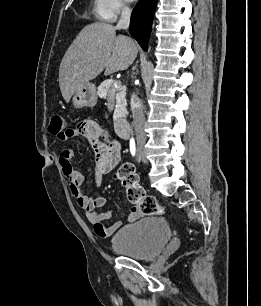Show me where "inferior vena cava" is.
<instances>
[{
  "label": "inferior vena cava",
  "mask_w": 261,
  "mask_h": 306,
  "mask_svg": "<svg viewBox=\"0 0 261 306\" xmlns=\"http://www.w3.org/2000/svg\"><path fill=\"white\" fill-rule=\"evenodd\" d=\"M130 15L131 10L128 6L124 5L122 7V13L121 17L115 27V29H128L130 24ZM131 110H132V116H133V123L135 127V131L138 134L144 135V113H143V107L141 104L140 99L137 97L136 94H132L131 96Z\"/></svg>",
  "instance_id": "1"
}]
</instances>
